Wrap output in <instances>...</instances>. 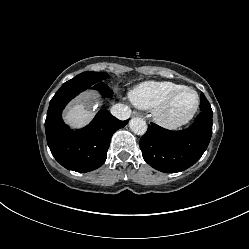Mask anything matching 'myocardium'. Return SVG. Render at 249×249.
Listing matches in <instances>:
<instances>
[{
	"label": "myocardium",
	"instance_id": "1",
	"mask_svg": "<svg viewBox=\"0 0 249 249\" xmlns=\"http://www.w3.org/2000/svg\"><path fill=\"white\" fill-rule=\"evenodd\" d=\"M183 91H189L192 92L194 95V104L192 108L183 116L173 118L169 116L168 112L169 109L176 98V96L183 92ZM199 95L197 91L191 87L188 86H181L172 92H170L164 100H162L155 108L153 111V116L154 119L162 126L166 128H171V129H176L179 128L185 124H187L196 114L198 107H199Z\"/></svg>",
	"mask_w": 249,
	"mask_h": 249
}]
</instances>
